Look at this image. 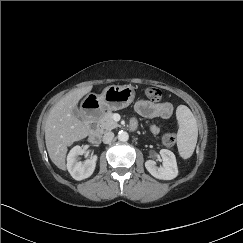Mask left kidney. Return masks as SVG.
<instances>
[{"label":"left kidney","mask_w":243,"mask_h":243,"mask_svg":"<svg viewBox=\"0 0 243 243\" xmlns=\"http://www.w3.org/2000/svg\"><path fill=\"white\" fill-rule=\"evenodd\" d=\"M160 155L163 160L162 166L157 167L155 161L147 160L145 162L146 169L153 177L157 179H174L178 175L177 162L174 153L167 149H161Z\"/></svg>","instance_id":"left-kidney-1"}]
</instances>
